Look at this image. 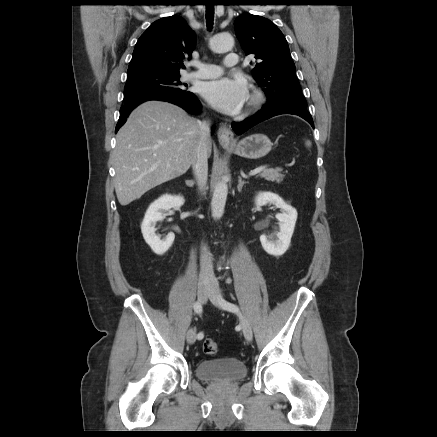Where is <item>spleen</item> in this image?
Masks as SVG:
<instances>
[{
    "label": "spleen",
    "mask_w": 437,
    "mask_h": 437,
    "mask_svg": "<svg viewBox=\"0 0 437 437\" xmlns=\"http://www.w3.org/2000/svg\"><path fill=\"white\" fill-rule=\"evenodd\" d=\"M306 146L310 147L311 146V142L310 141H306Z\"/></svg>",
    "instance_id": "obj_1"
}]
</instances>
